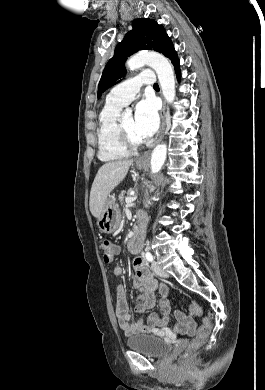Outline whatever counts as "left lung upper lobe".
<instances>
[{"label":"left lung upper lobe","instance_id":"5c2ea615","mask_svg":"<svg viewBox=\"0 0 265 390\" xmlns=\"http://www.w3.org/2000/svg\"><path fill=\"white\" fill-rule=\"evenodd\" d=\"M116 48L113 57L106 64L98 85V97L125 75V61L128 56L140 50H154L171 61L177 55L163 26L151 19H136Z\"/></svg>","mask_w":265,"mask_h":390}]
</instances>
